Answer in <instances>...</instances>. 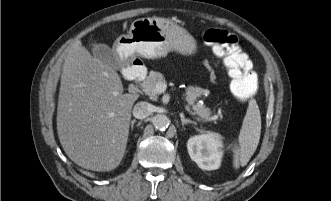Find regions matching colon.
Listing matches in <instances>:
<instances>
[{
    "label": "colon",
    "mask_w": 331,
    "mask_h": 201,
    "mask_svg": "<svg viewBox=\"0 0 331 201\" xmlns=\"http://www.w3.org/2000/svg\"><path fill=\"white\" fill-rule=\"evenodd\" d=\"M204 40L227 67L234 96L242 102L252 100L258 90V80L237 37L226 30L212 28L205 32Z\"/></svg>",
    "instance_id": "5ec220e1"
}]
</instances>
